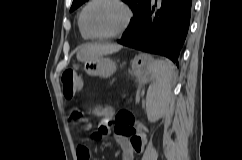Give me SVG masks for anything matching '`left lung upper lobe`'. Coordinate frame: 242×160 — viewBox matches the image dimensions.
Instances as JSON below:
<instances>
[{"label":"left lung upper lobe","instance_id":"obj_1","mask_svg":"<svg viewBox=\"0 0 242 160\" xmlns=\"http://www.w3.org/2000/svg\"><path fill=\"white\" fill-rule=\"evenodd\" d=\"M85 1H87V0H73V3H72V6H71V9H70V12L73 11V10H75L76 8H78ZM123 2L127 3L131 7V9H132V11L134 13V17L130 21V24H131L132 20L142 10V8L144 7V5L147 2V0H123ZM130 24H129V26H130Z\"/></svg>","mask_w":242,"mask_h":160}]
</instances>
